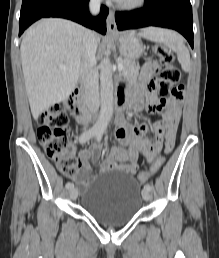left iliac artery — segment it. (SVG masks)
<instances>
[{
  "label": "left iliac artery",
  "mask_w": 219,
  "mask_h": 258,
  "mask_svg": "<svg viewBox=\"0 0 219 258\" xmlns=\"http://www.w3.org/2000/svg\"><path fill=\"white\" fill-rule=\"evenodd\" d=\"M102 134H103V130H98V132H97L96 135H95V136H96V139H97V140H100ZM144 189H147V190L151 191V190H152V186H151L150 184H146V185L144 186Z\"/></svg>",
  "instance_id": "left-iliac-artery-1"
}]
</instances>
